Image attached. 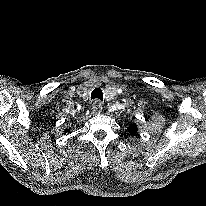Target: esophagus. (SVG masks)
<instances>
[{"instance_id": "obj_1", "label": "esophagus", "mask_w": 206, "mask_h": 206, "mask_svg": "<svg viewBox=\"0 0 206 206\" xmlns=\"http://www.w3.org/2000/svg\"><path fill=\"white\" fill-rule=\"evenodd\" d=\"M102 103L100 100H95L92 104V111L95 113H100L102 111Z\"/></svg>"}]
</instances>
